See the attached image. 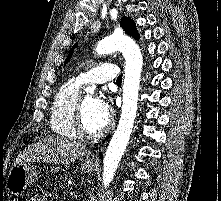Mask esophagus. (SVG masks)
<instances>
[{"label": "esophagus", "mask_w": 221, "mask_h": 201, "mask_svg": "<svg viewBox=\"0 0 221 201\" xmlns=\"http://www.w3.org/2000/svg\"><path fill=\"white\" fill-rule=\"evenodd\" d=\"M90 160L93 161V162H97V158L94 157V156Z\"/></svg>", "instance_id": "1"}]
</instances>
